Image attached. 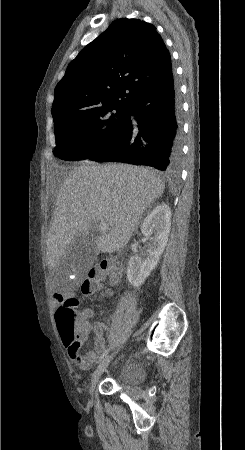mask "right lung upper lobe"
<instances>
[{
	"instance_id": "right-lung-upper-lobe-1",
	"label": "right lung upper lobe",
	"mask_w": 245,
	"mask_h": 450,
	"mask_svg": "<svg viewBox=\"0 0 245 450\" xmlns=\"http://www.w3.org/2000/svg\"><path fill=\"white\" fill-rule=\"evenodd\" d=\"M170 69L169 51L152 24L118 19L70 62L55 88L52 111L129 106Z\"/></svg>"
}]
</instances>
